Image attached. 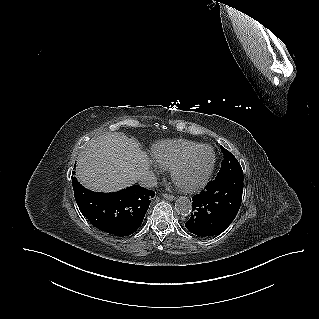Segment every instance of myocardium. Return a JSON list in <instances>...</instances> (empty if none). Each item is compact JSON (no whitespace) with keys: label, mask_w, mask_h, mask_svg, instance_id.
<instances>
[{"label":"myocardium","mask_w":319,"mask_h":319,"mask_svg":"<svg viewBox=\"0 0 319 319\" xmlns=\"http://www.w3.org/2000/svg\"><path fill=\"white\" fill-rule=\"evenodd\" d=\"M202 148H209L212 151L213 158L210 166L208 167L207 171L205 172L204 176L196 183L191 185H185L181 183L179 179V174L182 169L186 166V164L191 160V158ZM217 161V156L214 148L208 144H200L188 153H186L171 169V177L174 184L183 192L186 193H194L201 190L203 187L207 185L209 182L212 173L214 171L215 165Z\"/></svg>","instance_id":"obj_1"}]
</instances>
